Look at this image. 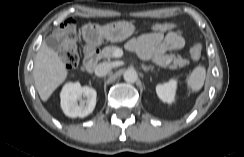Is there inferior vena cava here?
<instances>
[{"mask_svg": "<svg viewBox=\"0 0 244 157\" xmlns=\"http://www.w3.org/2000/svg\"><path fill=\"white\" fill-rule=\"evenodd\" d=\"M111 70V65L107 62H103L98 64L95 67V75L99 77H103L108 74V72Z\"/></svg>", "mask_w": 244, "mask_h": 157, "instance_id": "1", "label": "inferior vena cava"}]
</instances>
